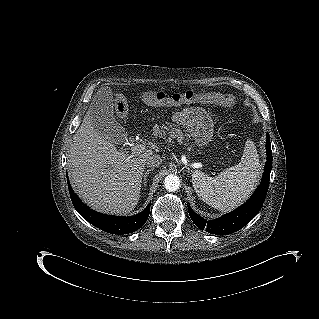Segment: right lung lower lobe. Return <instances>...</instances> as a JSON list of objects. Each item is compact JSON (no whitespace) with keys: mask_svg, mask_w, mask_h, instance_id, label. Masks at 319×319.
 I'll list each match as a JSON object with an SVG mask.
<instances>
[{"mask_svg":"<svg viewBox=\"0 0 319 319\" xmlns=\"http://www.w3.org/2000/svg\"><path fill=\"white\" fill-rule=\"evenodd\" d=\"M68 188L77 212L95 227L111 234H128L141 228L148 219L150 204L141 213L132 217L112 216L98 213L87 207L73 192L69 180Z\"/></svg>","mask_w":319,"mask_h":319,"instance_id":"1","label":"right lung lower lobe"}]
</instances>
